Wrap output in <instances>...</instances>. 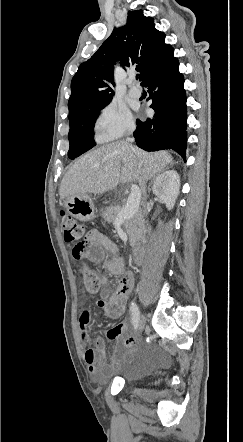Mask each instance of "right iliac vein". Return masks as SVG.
<instances>
[{
    "label": "right iliac vein",
    "instance_id": "63e3f726",
    "mask_svg": "<svg viewBox=\"0 0 243 442\" xmlns=\"http://www.w3.org/2000/svg\"><path fill=\"white\" fill-rule=\"evenodd\" d=\"M144 325H145V317H144V315H140L139 320L137 322V330L139 333H141L143 331Z\"/></svg>",
    "mask_w": 243,
    "mask_h": 442
}]
</instances>
